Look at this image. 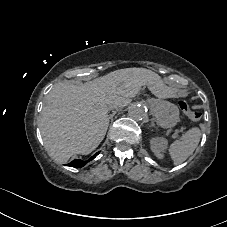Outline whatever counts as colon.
Masks as SVG:
<instances>
[{
  "label": "colon",
  "mask_w": 227,
  "mask_h": 227,
  "mask_svg": "<svg viewBox=\"0 0 227 227\" xmlns=\"http://www.w3.org/2000/svg\"><path fill=\"white\" fill-rule=\"evenodd\" d=\"M179 107L191 120L199 121L201 119V111L192 109L187 101H181Z\"/></svg>",
  "instance_id": "colon-1"
}]
</instances>
